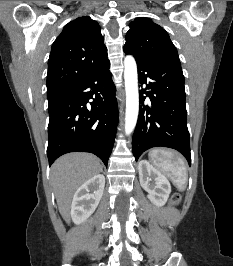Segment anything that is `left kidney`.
Here are the masks:
<instances>
[{
  "label": "left kidney",
  "instance_id": "5707ae66",
  "mask_svg": "<svg viewBox=\"0 0 233 266\" xmlns=\"http://www.w3.org/2000/svg\"><path fill=\"white\" fill-rule=\"evenodd\" d=\"M139 181L148 193L149 200L156 206H163L171 193L168 179L148 161L142 160L138 165Z\"/></svg>",
  "mask_w": 233,
  "mask_h": 266
}]
</instances>
